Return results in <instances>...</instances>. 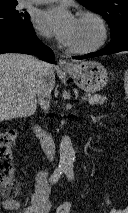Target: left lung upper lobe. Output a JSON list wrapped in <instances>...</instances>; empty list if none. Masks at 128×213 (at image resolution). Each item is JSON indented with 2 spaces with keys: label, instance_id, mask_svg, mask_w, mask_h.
Segmentation results:
<instances>
[{
  "label": "left lung upper lobe",
  "instance_id": "obj_1",
  "mask_svg": "<svg viewBox=\"0 0 128 213\" xmlns=\"http://www.w3.org/2000/svg\"><path fill=\"white\" fill-rule=\"evenodd\" d=\"M85 7L102 15L112 30L111 37L128 30V0H79Z\"/></svg>",
  "mask_w": 128,
  "mask_h": 213
}]
</instances>
